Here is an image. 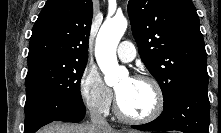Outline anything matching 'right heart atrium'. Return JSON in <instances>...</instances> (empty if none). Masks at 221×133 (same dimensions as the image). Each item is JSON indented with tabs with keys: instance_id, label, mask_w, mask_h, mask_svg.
Here are the masks:
<instances>
[{
	"instance_id": "d8ad5b80",
	"label": "right heart atrium",
	"mask_w": 221,
	"mask_h": 133,
	"mask_svg": "<svg viewBox=\"0 0 221 133\" xmlns=\"http://www.w3.org/2000/svg\"><path fill=\"white\" fill-rule=\"evenodd\" d=\"M79 95L85 107L91 112L104 115L113 104V93L104 83L96 67L87 66L79 79Z\"/></svg>"
}]
</instances>
